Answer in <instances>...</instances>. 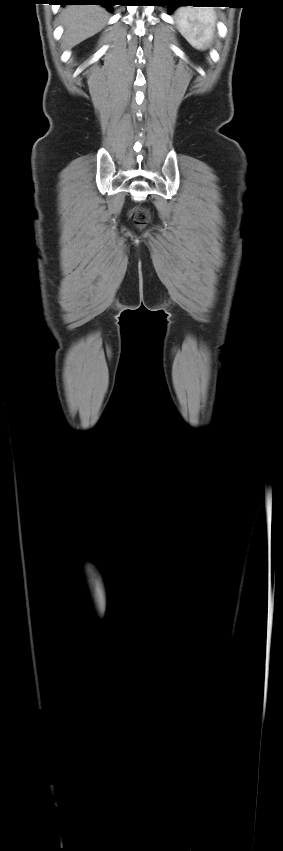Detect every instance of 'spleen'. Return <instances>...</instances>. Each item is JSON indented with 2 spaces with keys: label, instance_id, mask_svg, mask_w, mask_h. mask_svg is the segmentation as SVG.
<instances>
[{
  "label": "spleen",
  "instance_id": "obj_1",
  "mask_svg": "<svg viewBox=\"0 0 283 851\" xmlns=\"http://www.w3.org/2000/svg\"><path fill=\"white\" fill-rule=\"evenodd\" d=\"M175 18L179 32L198 50L207 49L212 43L216 14L212 8L183 7Z\"/></svg>",
  "mask_w": 283,
  "mask_h": 851
}]
</instances>
